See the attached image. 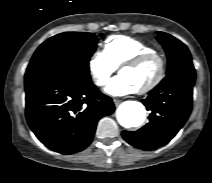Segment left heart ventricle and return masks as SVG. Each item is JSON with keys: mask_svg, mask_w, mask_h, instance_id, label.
Instances as JSON below:
<instances>
[{"mask_svg": "<svg viewBox=\"0 0 212 183\" xmlns=\"http://www.w3.org/2000/svg\"><path fill=\"white\" fill-rule=\"evenodd\" d=\"M158 71V61L151 59L138 67L122 70L120 75L127 78L137 89H140L150 84Z\"/></svg>", "mask_w": 212, "mask_h": 183, "instance_id": "b2bd125f", "label": "left heart ventricle"}]
</instances>
